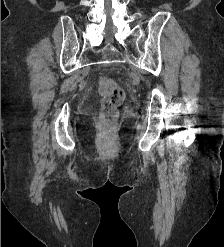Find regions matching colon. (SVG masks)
Segmentation results:
<instances>
[{
	"instance_id": "obj_1",
	"label": "colon",
	"mask_w": 224,
	"mask_h": 247,
	"mask_svg": "<svg viewBox=\"0 0 224 247\" xmlns=\"http://www.w3.org/2000/svg\"><path fill=\"white\" fill-rule=\"evenodd\" d=\"M99 91L102 96V120L111 124L117 118L118 107L125 96L124 90L114 80L101 77L99 79Z\"/></svg>"
}]
</instances>
